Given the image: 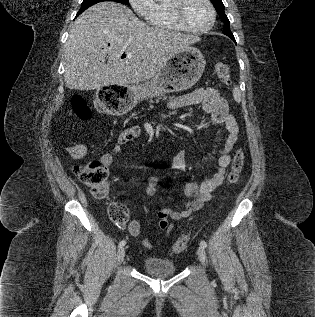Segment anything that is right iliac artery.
Returning <instances> with one entry per match:
<instances>
[{
  "label": "right iliac artery",
  "mask_w": 315,
  "mask_h": 317,
  "mask_svg": "<svg viewBox=\"0 0 315 317\" xmlns=\"http://www.w3.org/2000/svg\"><path fill=\"white\" fill-rule=\"evenodd\" d=\"M126 244V241L125 240H122L120 243H119V248H122L123 246H125Z\"/></svg>",
  "instance_id": "right-iliac-artery-1"
}]
</instances>
